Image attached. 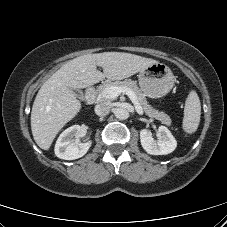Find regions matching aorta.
<instances>
[{"label": "aorta", "mask_w": 227, "mask_h": 227, "mask_svg": "<svg viewBox=\"0 0 227 227\" xmlns=\"http://www.w3.org/2000/svg\"><path fill=\"white\" fill-rule=\"evenodd\" d=\"M114 114H115V117L119 120H125L128 118V115H129L127 109L122 107L116 108L114 111Z\"/></svg>", "instance_id": "obj_1"}]
</instances>
